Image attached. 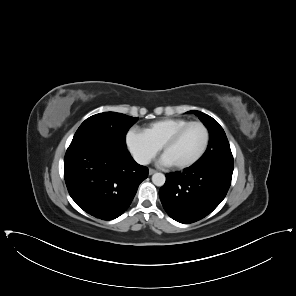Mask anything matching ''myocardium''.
Instances as JSON below:
<instances>
[{
	"label": "myocardium",
	"mask_w": 296,
	"mask_h": 296,
	"mask_svg": "<svg viewBox=\"0 0 296 296\" xmlns=\"http://www.w3.org/2000/svg\"><path fill=\"white\" fill-rule=\"evenodd\" d=\"M193 125H197V126H200L203 131H204V135H205V139H204V143H203V146L201 148V150L190 160L188 161H185V162H181V163H177V164H173L174 167L176 168H186V167H189V166H192L193 164L197 163L202 157L203 155L205 154L206 150H207V147H208V144H209V139H210V136H209V131L207 129V127L199 122V121H191L189 123H187L186 125H184L183 127H181L180 129H178L176 132H174L166 141L165 143L163 144L162 146V152L165 153L166 150L173 144L177 141V139L180 137V135L187 129L189 128L190 126H193Z\"/></svg>",
	"instance_id": "myocardium-1"
}]
</instances>
